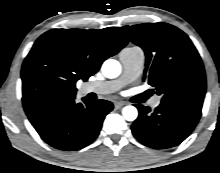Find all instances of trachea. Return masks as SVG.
<instances>
[{
    "label": "trachea",
    "mask_w": 220,
    "mask_h": 173,
    "mask_svg": "<svg viewBox=\"0 0 220 173\" xmlns=\"http://www.w3.org/2000/svg\"><path fill=\"white\" fill-rule=\"evenodd\" d=\"M150 96H151V92L146 91L145 93L138 95L137 99H138L139 103H142V102L146 101Z\"/></svg>",
    "instance_id": "trachea-1"
}]
</instances>
